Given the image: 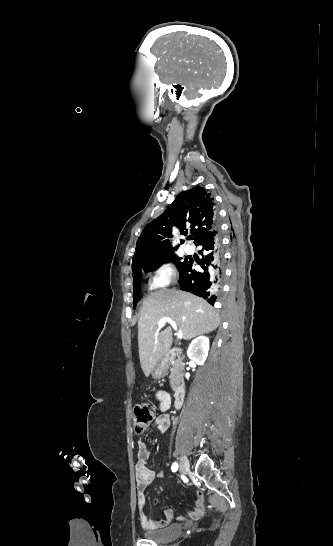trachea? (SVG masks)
Wrapping results in <instances>:
<instances>
[{
  "label": "trachea",
  "instance_id": "3493384b",
  "mask_svg": "<svg viewBox=\"0 0 333 546\" xmlns=\"http://www.w3.org/2000/svg\"><path fill=\"white\" fill-rule=\"evenodd\" d=\"M188 239H192V236H189Z\"/></svg>",
  "mask_w": 333,
  "mask_h": 546
}]
</instances>
